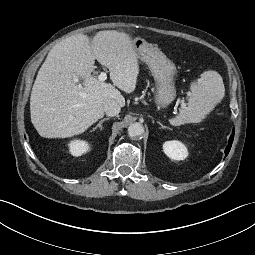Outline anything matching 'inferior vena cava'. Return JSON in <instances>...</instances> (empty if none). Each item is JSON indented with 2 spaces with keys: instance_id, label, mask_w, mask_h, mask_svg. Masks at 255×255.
Returning a JSON list of instances; mask_svg holds the SVG:
<instances>
[{
  "instance_id": "602c4592",
  "label": "inferior vena cava",
  "mask_w": 255,
  "mask_h": 255,
  "mask_svg": "<svg viewBox=\"0 0 255 255\" xmlns=\"http://www.w3.org/2000/svg\"><path fill=\"white\" fill-rule=\"evenodd\" d=\"M104 112L106 115L113 117L119 114L121 107L114 100H106L103 103Z\"/></svg>"
}]
</instances>
